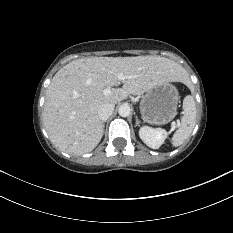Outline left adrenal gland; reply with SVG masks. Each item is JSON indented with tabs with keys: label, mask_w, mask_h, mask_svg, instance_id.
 Masks as SVG:
<instances>
[{
	"label": "left adrenal gland",
	"mask_w": 233,
	"mask_h": 233,
	"mask_svg": "<svg viewBox=\"0 0 233 233\" xmlns=\"http://www.w3.org/2000/svg\"><path fill=\"white\" fill-rule=\"evenodd\" d=\"M135 119H136V126H139L140 120L138 119V116H137V115H135Z\"/></svg>",
	"instance_id": "obj_1"
}]
</instances>
